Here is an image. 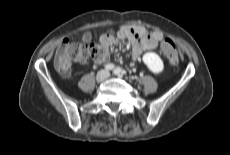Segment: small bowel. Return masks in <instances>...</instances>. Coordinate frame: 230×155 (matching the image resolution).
<instances>
[{
    "label": "small bowel",
    "instance_id": "1",
    "mask_svg": "<svg viewBox=\"0 0 230 155\" xmlns=\"http://www.w3.org/2000/svg\"><path fill=\"white\" fill-rule=\"evenodd\" d=\"M83 40L85 42L90 41L91 34L85 33ZM125 40L131 43L132 55L135 60H138L144 52L157 48L165 41L163 33L160 30L148 31L140 25H123L101 35L100 42L105 46V54L101 59L95 60V62L101 64L107 61L109 47Z\"/></svg>",
    "mask_w": 230,
    "mask_h": 155
}]
</instances>
